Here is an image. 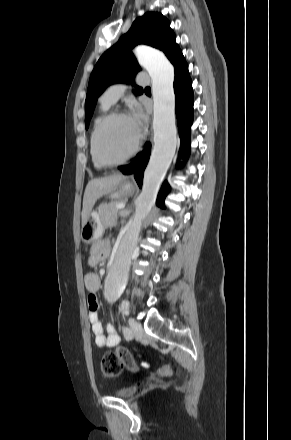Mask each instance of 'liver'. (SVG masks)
I'll return each instance as SVG.
<instances>
[{"mask_svg": "<svg viewBox=\"0 0 291 440\" xmlns=\"http://www.w3.org/2000/svg\"><path fill=\"white\" fill-rule=\"evenodd\" d=\"M124 179L125 176L122 174H114L103 178L92 179L88 182L83 198L82 226L86 223L96 201L103 195L114 191Z\"/></svg>", "mask_w": 291, "mask_h": 440, "instance_id": "6515ba94", "label": "liver"}]
</instances>
